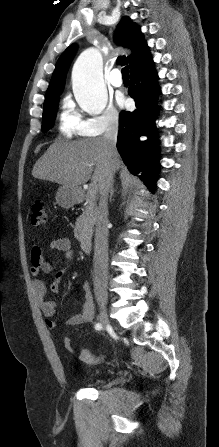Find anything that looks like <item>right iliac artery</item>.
<instances>
[{
    "instance_id": "1",
    "label": "right iliac artery",
    "mask_w": 219,
    "mask_h": 447,
    "mask_svg": "<svg viewBox=\"0 0 219 447\" xmlns=\"http://www.w3.org/2000/svg\"><path fill=\"white\" fill-rule=\"evenodd\" d=\"M95 329H96V330L101 329V324L97 323V324L95 325Z\"/></svg>"
}]
</instances>
